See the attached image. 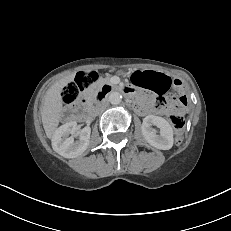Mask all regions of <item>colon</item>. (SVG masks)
Here are the masks:
<instances>
[{"label":"colon","instance_id":"1","mask_svg":"<svg viewBox=\"0 0 231 231\" xmlns=\"http://www.w3.org/2000/svg\"><path fill=\"white\" fill-rule=\"evenodd\" d=\"M134 80L137 86H141L143 83V77L139 73L134 74ZM98 79V74L96 72H87L80 74L73 83L67 85L63 89L62 98L65 104L73 103L79 95L88 89L94 82ZM158 106H164L166 104L165 98H158ZM175 107H179L182 110L188 107V101L186 96H179L176 98ZM171 122L174 126L176 133V143L180 144L183 140V134L185 130V120L182 116L177 114H172L170 116Z\"/></svg>","mask_w":231,"mask_h":231}]
</instances>
